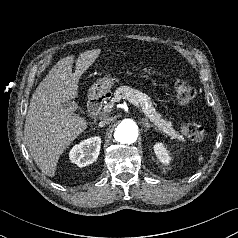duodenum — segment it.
<instances>
[{
    "mask_svg": "<svg viewBox=\"0 0 238 238\" xmlns=\"http://www.w3.org/2000/svg\"><path fill=\"white\" fill-rule=\"evenodd\" d=\"M104 100V96L101 94H93L89 100L88 108L93 114H97L100 111Z\"/></svg>",
    "mask_w": 238,
    "mask_h": 238,
    "instance_id": "obj_1",
    "label": "duodenum"
}]
</instances>
